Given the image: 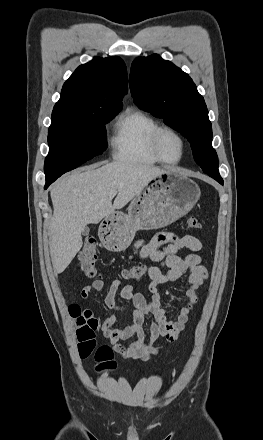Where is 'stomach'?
Listing matches in <instances>:
<instances>
[{
  "mask_svg": "<svg viewBox=\"0 0 263 440\" xmlns=\"http://www.w3.org/2000/svg\"><path fill=\"white\" fill-rule=\"evenodd\" d=\"M200 195L193 180L167 171L131 201L128 213L116 211L102 221L101 239L108 250L124 251L138 230L159 229L173 223L195 206Z\"/></svg>",
  "mask_w": 263,
  "mask_h": 440,
  "instance_id": "0dacf381",
  "label": "stomach"
}]
</instances>
